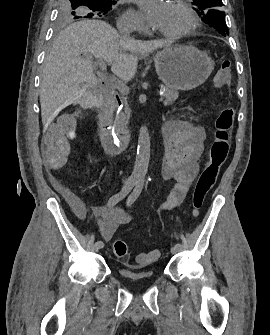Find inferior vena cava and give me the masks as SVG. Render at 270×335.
Listing matches in <instances>:
<instances>
[{
	"label": "inferior vena cava",
	"instance_id": "inferior-vena-cava-1",
	"mask_svg": "<svg viewBox=\"0 0 270 335\" xmlns=\"http://www.w3.org/2000/svg\"><path fill=\"white\" fill-rule=\"evenodd\" d=\"M116 28L118 34H120L122 38H129L132 32V28L129 26V20H126V18H119V20H117Z\"/></svg>",
	"mask_w": 270,
	"mask_h": 335
}]
</instances>
